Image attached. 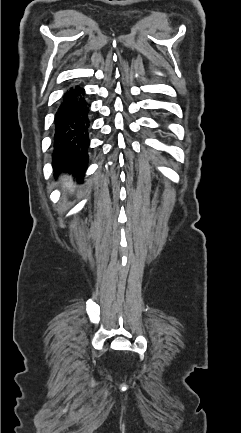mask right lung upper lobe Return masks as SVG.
<instances>
[{
	"label": "right lung upper lobe",
	"instance_id": "right-lung-upper-lobe-1",
	"mask_svg": "<svg viewBox=\"0 0 241 433\" xmlns=\"http://www.w3.org/2000/svg\"><path fill=\"white\" fill-rule=\"evenodd\" d=\"M57 152H58L57 146L54 145V153H57Z\"/></svg>",
	"mask_w": 241,
	"mask_h": 433
}]
</instances>
